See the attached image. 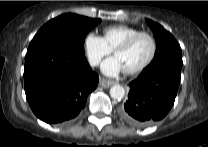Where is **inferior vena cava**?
Returning <instances> with one entry per match:
<instances>
[{"instance_id":"obj_1","label":"inferior vena cava","mask_w":208,"mask_h":147,"mask_svg":"<svg viewBox=\"0 0 208 147\" xmlns=\"http://www.w3.org/2000/svg\"><path fill=\"white\" fill-rule=\"evenodd\" d=\"M99 63V60H92L91 62H90V64L92 65V66H95V65H97Z\"/></svg>"}]
</instances>
